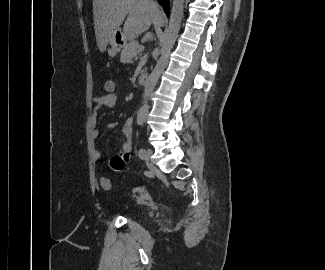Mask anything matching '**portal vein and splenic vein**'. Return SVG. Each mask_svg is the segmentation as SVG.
Segmentation results:
<instances>
[{
  "instance_id": "obj_1",
  "label": "portal vein and splenic vein",
  "mask_w": 325,
  "mask_h": 270,
  "mask_svg": "<svg viewBox=\"0 0 325 270\" xmlns=\"http://www.w3.org/2000/svg\"><path fill=\"white\" fill-rule=\"evenodd\" d=\"M142 50H144V46H139L138 51H142Z\"/></svg>"
}]
</instances>
